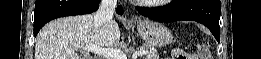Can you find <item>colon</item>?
<instances>
[{
	"mask_svg": "<svg viewBox=\"0 0 261 59\" xmlns=\"http://www.w3.org/2000/svg\"><path fill=\"white\" fill-rule=\"evenodd\" d=\"M173 58L174 59H191L190 56H188L183 50L181 49H176L173 52ZM200 58L202 59H208L209 58V53L208 49L206 46H201L200 47Z\"/></svg>",
	"mask_w": 261,
	"mask_h": 59,
	"instance_id": "5ec220e1",
	"label": "colon"
}]
</instances>
